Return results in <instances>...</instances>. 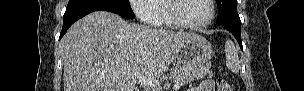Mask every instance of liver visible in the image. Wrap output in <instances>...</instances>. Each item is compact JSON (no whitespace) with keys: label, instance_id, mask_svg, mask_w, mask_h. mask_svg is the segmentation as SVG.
I'll return each instance as SVG.
<instances>
[{"label":"liver","instance_id":"liver-1","mask_svg":"<svg viewBox=\"0 0 304 91\" xmlns=\"http://www.w3.org/2000/svg\"><path fill=\"white\" fill-rule=\"evenodd\" d=\"M197 36L127 23L111 12H92L61 40L64 91H134L140 78L167 71L176 49Z\"/></svg>","mask_w":304,"mask_h":91}]
</instances>
